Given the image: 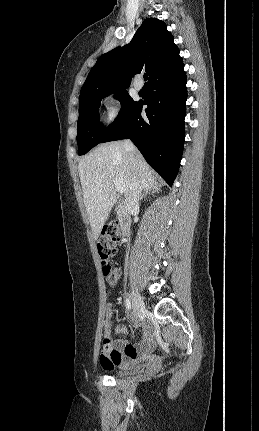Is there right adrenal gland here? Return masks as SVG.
<instances>
[{"mask_svg":"<svg viewBox=\"0 0 259 431\" xmlns=\"http://www.w3.org/2000/svg\"><path fill=\"white\" fill-rule=\"evenodd\" d=\"M158 190H159V189H158L157 187H153V188H151V189H149V190H146V191H145V193L141 196V200H143V198H144V197H146L148 193H149V194H150V193H152V194H153V193H155V192H158Z\"/></svg>","mask_w":259,"mask_h":431,"instance_id":"obj_1","label":"right adrenal gland"}]
</instances>
